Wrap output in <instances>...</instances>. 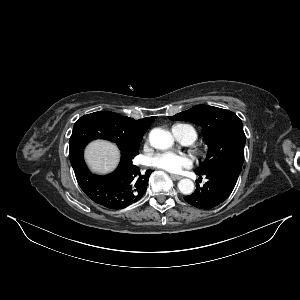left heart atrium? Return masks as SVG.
Returning a JSON list of instances; mask_svg holds the SVG:
<instances>
[{"label": "left heart atrium", "instance_id": "left-heart-atrium-1", "mask_svg": "<svg viewBox=\"0 0 300 300\" xmlns=\"http://www.w3.org/2000/svg\"><path fill=\"white\" fill-rule=\"evenodd\" d=\"M150 165L170 173H178L192 165V158L185 154L173 152L158 153L151 157Z\"/></svg>", "mask_w": 300, "mask_h": 300}]
</instances>
